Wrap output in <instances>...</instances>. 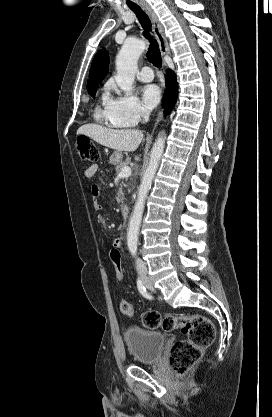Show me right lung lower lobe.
<instances>
[{"instance_id":"obj_1","label":"right lung lower lobe","mask_w":272,"mask_h":417,"mask_svg":"<svg viewBox=\"0 0 272 417\" xmlns=\"http://www.w3.org/2000/svg\"><path fill=\"white\" fill-rule=\"evenodd\" d=\"M165 81L167 83V89L165 90L163 104L165 111L169 112L173 109L178 95V85L175 73L168 70Z\"/></svg>"}]
</instances>
